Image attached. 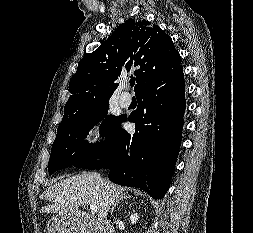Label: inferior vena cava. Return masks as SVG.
Wrapping results in <instances>:
<instances>
[{"instance_id":"inferior-vena-cava-1","label":"inferior vena cava","mask_w":253,"mask_h":233,"mask_svg":"<svg viewBox=\"0 0 253 233\" xmlns=\"http://www.w3.org/2000/svg\"><path fill=\"white\" fill-rule=\"evenodd\" d=\"M94 176L97 180H101V176L99 173H94Z\"/></svg>"}]
</instances>
